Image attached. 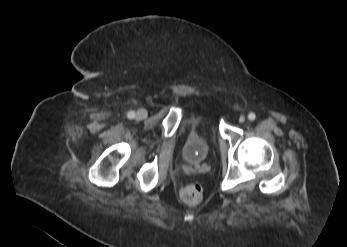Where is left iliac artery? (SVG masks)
I'll list each match as a JSON object with an SVG mask.
<instances>
[{
  "mask_svg": "<svg viewBox=\"0 0 347 247\" xmlns=\"http://www.w3.org/2000/svg\"><path fill=\"white\" fill-rule=\"evenodd\" d=\"M255 118H256V115H255L253 112H251V113L248 114V119H249L250 121H254Z\"/></svg>",
  "mask_w": 347,
  "mask_h": 247,
  "instance_id": "1",
  "label": "left iliac artery"
}]
</instances>
